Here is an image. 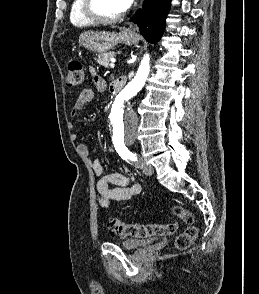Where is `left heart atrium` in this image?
<instances>
[{"label":"left heart atrium","instance_id":"39dd6f15","mask_svg":"<svg viewBox=\"0 0 259 294\" xmlns=\"http://www.w3.org/2000/svg\"><path fill=\"white\" fill-rule=\"evenodd\" d=\"M120 1H121V5L125 11L131 7L134 0H120Z\"/></svg>","mask_w":259,"mask_h":294}]
</instances>
